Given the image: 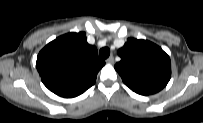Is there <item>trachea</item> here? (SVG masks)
<instances>
[{"label": "trachea", "mask_w": 203, "mask_h": 123, "mask_svg": "<svg viewBox=\"0 0 203 123\" xmlns=\"http://www.w3.org/2000/svg\"><path fill=\"white\" fill-rule=\"evenodd\" d=\"M109 55H110V49L107 48V47H104V48H102V49L99 51V56H100V58H102V59L108 58Z\"/></svg>", "instance_id": "1"}]
</instances>
